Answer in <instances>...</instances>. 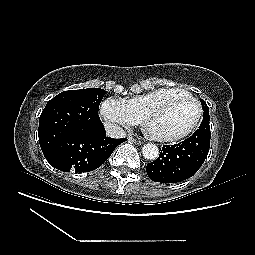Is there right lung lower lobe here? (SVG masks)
<instances>
[{"label": "right lung lower lobe", "mask_w": 255, "mask_h": 255, "mask_svg": "<svg viewBox=\"0 0 255 255\" xmlns=\"http://www.w3.org/2000/svg\"><path fill=\"white\" fill-rule=\"evenodd\" d=\"M125 138L106 137L104 126L98 132L73 130L62 137L49 151L47 161L64 172H90L100 167Z\"/></svg>", "instance_id": "98d812e1"}]
</instances>
